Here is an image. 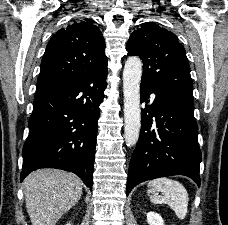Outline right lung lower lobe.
Here are the masks:
<instances>
[{
	"label": "right lung lower lobe",
	"instance_id": "1",
	"mask_svg": "<svg viewBox=\"0 0 228 225\" xmlns=\"http://www.w3.org/2000/svg\"><path fill=\"white\" fill-rule=\"evenodd\" d=\"M107 65L77 80L37 89L23 147L21 181L39 168L78 175L92 189L95 146Z\"/></svg>",
	"mask_w": 228,
	"mask_h": 225
}]
</instances>
